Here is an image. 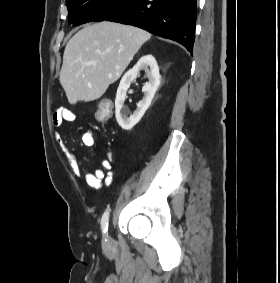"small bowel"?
<instances>
[{
  "label": "small bowel",
  "instance_id": "small-bowel-1",
  "mask_svg": "<svg viewBox=\"0 0 280 283\" xmlns=\"http://www.w3.org/2000/svg\"><path fill=\"white\" fill-rule=\"evenodd\" d=\"M75 118L76 115L73 111L67 108H60L53 114V123L56 126H61L64 122L74 121ZM56 140L68 161L72 173L76 176L83 175L86 183L90 187L94 189H100L104 179L107 183L111 181L110 170L113 166L111 159H103L101 169H98L94 172L83 171L76 155L67 147L61 134H56ZM81 142L87 147H92L95 142L94 135L90 132L83 133L81 135Z\"/></svg>",
  "mask_w": 280,
  "mask_h": 283
}]
</instances>
